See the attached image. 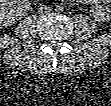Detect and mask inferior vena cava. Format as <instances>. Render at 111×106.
I'll return each mask as SVG.
<instances>
[{
  "mask_svg": "<svg viewBox=\"0 0 111 106\" xmlns=\"http://www.w3.org/2000/svg\"><path fill=\"white\" fill-rule=\"evenodd\" d=\"M51 11H52L51 7L47 5H43L39 9L40 14H47V13H50Z\"/></svg>",
  "mask_w": 111,
  "mask_h": 106,
  "instance_id": "obj_1",
  "label": "inferior vena cava"
}]
</instances>
